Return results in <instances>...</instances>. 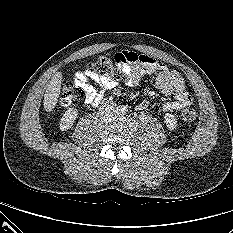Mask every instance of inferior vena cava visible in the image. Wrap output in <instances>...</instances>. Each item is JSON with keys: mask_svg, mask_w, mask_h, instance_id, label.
Returning a JSON list of instances; mask_svg holds the SVG:
<instances>
[{"mask_svg": "<svg viewBox=\"0 0 233 233\" xmlns=\"http://www.w3.org/2000/svg\"><path fill=\"white\" fill-rule=\"evenodd\" d=\"M104 110L102 109V110H100V113H101V115L103 116L104 115ZM112 112H113V108L112 107H109L107 110H106V114H105V116L104 117H107V116H110L111 114H112Z\"/></svg>", "mask_w": 233, "mask_h": 233, "instance_id": "1", "label": "inferior vena cava"}]
</instances>
